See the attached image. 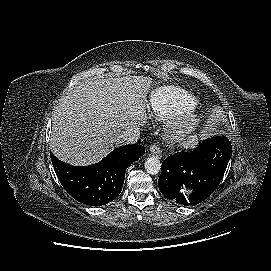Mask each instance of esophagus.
<instances>
[{
  "label": "esophagus",
  "instance_id": "obj_1",
  "mask_svg": "<svg viewBox=\"0 0 271 271\" xmlns=\"http://www.w3.org/2000/svg\"><path fill=\"white\" fill-rule=\"evenodd\" d=\"M150 152L153 156L161 159L163 157V152L162 150L160 149V147L156 144H152L150 146Z\"/></svg>",
  "mask_w": 271,
  "mask_h": 271
}]
</instances>
